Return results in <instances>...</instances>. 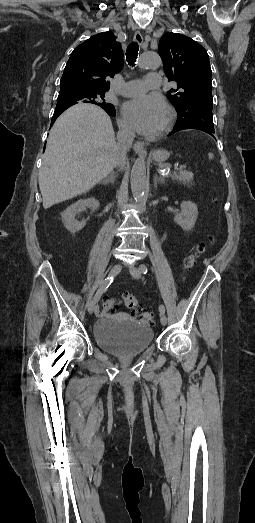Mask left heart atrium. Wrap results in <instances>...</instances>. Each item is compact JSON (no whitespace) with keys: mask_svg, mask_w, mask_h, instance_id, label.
Wrapping results in <instances>:
<instances>
[{"mask_svg":"<svg viewBox=\"0 0 255 523\" xmlns=\"http://www.w3.org/2000/svg\"><path fill=\"white\" fill-rule=\"evenodd\" d=\"M166 106L158 96H143L141 100L131 99L123 105L127 122L140 133L155 134Z\"/></svg>","mask_w":255,"mask_h":523,"instance_id":"obj_1","label":"left heart atrium"}]
</instances>
